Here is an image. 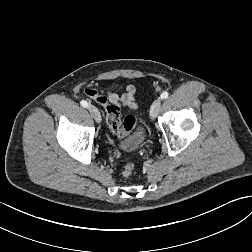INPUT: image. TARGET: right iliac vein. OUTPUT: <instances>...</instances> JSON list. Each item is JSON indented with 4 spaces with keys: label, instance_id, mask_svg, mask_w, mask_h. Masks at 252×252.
Masks as SVG:
<instances>
[{
    "label": "right iliac vein",
    "instance_id": "1",
    "mask_svg": "<svg viewBox=\"0 0 252 252\" xmlns=\"http://www.w3.org/2000/svg\"><path fill=\"white\" fill-rule=\"evenodd\" d=\"M89 111H90L91 115L93 116V118L95 119V121L97 123H100L101 122V115H100L99 110L96 107L90 105Z\"/></svg>",
    "mask_w": 252,
    "mask_h": 252
}]
</instances>
